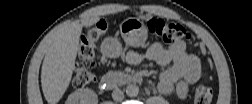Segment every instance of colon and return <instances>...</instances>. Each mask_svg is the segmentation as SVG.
I'll return each instance as SVG.
<instances>
[{"instance_id": "obj_1", "label": "colon", "mask_w": 252, "mask_h": 104, "mask_svg": "<svg viewBox=\"0 0 252 104\" xmlns=\"http://www.w3.org/2000/svg\"><path fill=\"white\" fill-rule=\"evenodd\" d=\"M148 32L166 43H172L183 39H189L191 34L179 23L160 18H151L147 22ZM108 30L106 21H99L85 29L80 39V61L75 64L72 76V84L80 89L94 82L92 72L95 56V44ZM213 92L209 86L200 85L194 93L197 104H208L212 100Z\"/></svg>"}]
</instances>
